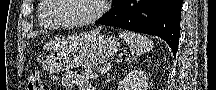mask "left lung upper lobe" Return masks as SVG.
I'll return each instance as SVG.
<instances>
[{
    "label": "left lung upper lobe",
    "instance_id": "5c2ea615",
    "mask_svg": "<svg viewBox=\"0 0 216 90\" xmlns=\"http://www.w3.org/2000/svg\"><path fill=\"white\" fill-rule=\"evenodd\" d=\"M117 3V0H113V4L115 5Z\"/></svg>",
    "mask_w": 216,
    "mask_h": 90
}]
</instances>
